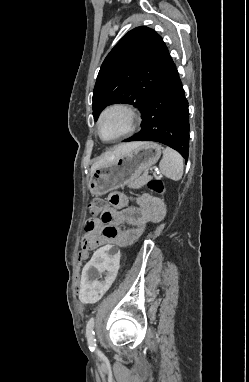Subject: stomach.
Instances as JSON below:
<instances>
[{
  "mask_svg": "<svg viewBox=\"0 0 249 382\" xmlns=\"http://www.w3.org/2000/svg\"><path fill=\"white\" fill-rule=\"evenodd\" d=\"M161 156V146L154 142H140L111 164L96 169L90 177L88 188L99 196L127 184L152 167Z\"/></svg>",
  "mask_w": 249,
  "mask_h": 382,
  "instance_id": "0dacf381",
  "label": "stomach"
}]
</instances>
